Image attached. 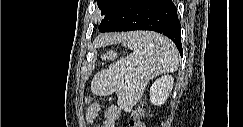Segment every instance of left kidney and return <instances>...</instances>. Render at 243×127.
I'll use <instances>...</instances> for the list:
<instances>
[{
	"instance_id": "left-kidney-1",
	"label": "left kidney",
	"mask_w": 243,
	"mask_h": 127,
	"mask_svg": "<svg viewBox=\"0 0 243 127\" xmlns=\"http://www.w3.org/2000/svg\"><path fill=\"white\" fill-rule=\"evenodd\" d=\"M173 83L174 79L169 75L156 79L149 91L151 103L157 106L164 104L173 88Z\"/></svg>"
}]
</instances>
